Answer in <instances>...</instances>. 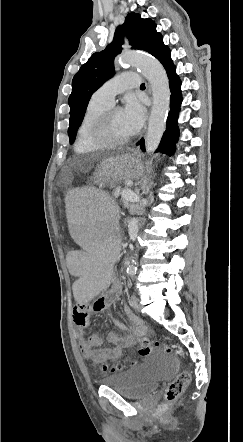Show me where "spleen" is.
<instances>
[{
	"mask_svg": "<svg viewBox=\"0 0 243 442\" xmlns=\"http://www.w3.org/2000/svg\"><path fill=\"white\" fill-rule=\"evenodd\" d=\"M111 185L85 183L74 187L72 193H63V202L68 205L71 222V235L74 242H80L84 254H76L72 259L74 274H80L81 282L73 288V295L79 296L83 305L95 302L100 291H110L116 285L115 258H119L118 239H112V229L105 219H117L111 193Z\"/></svg>",
	"mask_w": 243,
	"mask_h": 442,
	"instance_id": "3e777b00",
	"label": "spleen"
}]
</instances>
